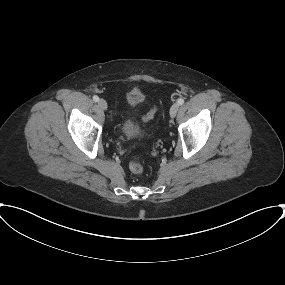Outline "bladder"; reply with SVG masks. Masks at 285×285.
<instances>
[{"mask_svg": "<svg viewBox=\"0 0 285 285\" xmlns=\"http://www.w3.org/2000/svg\"><path fill=\"white\" fill-rule=\"evenodd\" d=\"M144 99L142 92L138 89L129 91L126 95V103L129 108H134L140 104ZM120 133L127 139L135 140L141 139L144 132L139 128L132 117H125L120 124Z\"/></svg>", "mask_w": 285, "mask_h": 285, "instance_id": "1", "label": "bladder"}]
</instances>
